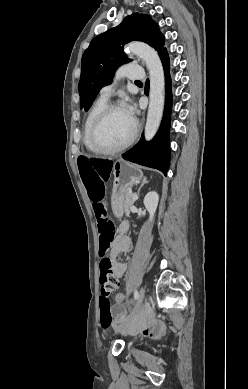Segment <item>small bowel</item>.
<instances>
[{
	"mask_svg": "<svg viewBox=\"0 0 248 389\" xmlns=\"http://www.w3.org/2000/svg\"><path fill=\"white\" fill-rule=\"evenodd\" d=\"M128 230V223L122 222L118 227V234L114 238V241L112 243L110 256L113 260V268H114V274L117 279L122 278L126 271H127V264L118 262L116 258L121 253H126L131 250L132 242L130 238L126 235V232ZM121 305L117 306L114 304L112 306V314L114 316V319L117 321H120L125 316V303H128L129 301L126 299L125 301H120ZM128 330L131 333H141L144 336H158L162 334L163 327L153 321H150L148 319H140L136 324H133L129 326Z\"/></svg>",
	"mask_w": 248,
	"mask_h": 389,
	"instance_id": "1",
	"label": "small bowel"
}]
</instances>
